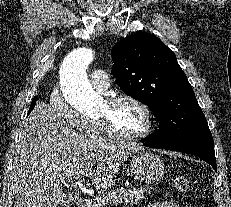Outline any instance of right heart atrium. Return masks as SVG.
<instances>
[{"label":"right heart atrium","instance_id":"1","mask_svg":"<svg viewBox=\"0 0 231 207\" xmlns=\"http://www.w3.org/2000/svg\"><path fill=\"white\" fill-rule=\"evenodd\" d=\"M50 105L60 121L80 132H87L88 121L65 100L60 90L52 91Z\"/></svg>","mask_w":231,"mask_h":207}]
</instances>
